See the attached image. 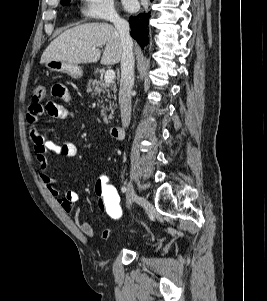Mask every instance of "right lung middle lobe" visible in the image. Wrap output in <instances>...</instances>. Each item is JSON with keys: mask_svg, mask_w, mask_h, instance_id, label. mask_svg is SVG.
<instances>
[{"mask_svg": "<svg viewBox=\"0 0 267 301\" xmlns=\"http://www.w3.org/2000/svg\"><path fill=\"white\" fill-rule=\"evenodd\" d=\"M68 2H70V0H61V3H62V4H66V3H68Z\"/></svg>", "mask_w": 267, "mask_h": 301, "instance_id": "right-lung-middle-lobe-1", "label": "right lung middle lobe"}]
</instances>
